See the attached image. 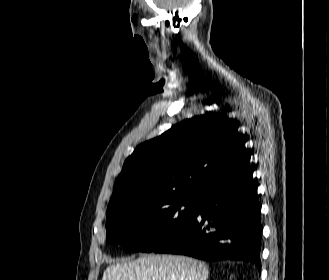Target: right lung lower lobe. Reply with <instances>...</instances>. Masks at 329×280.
<instances>
[{"label": "right lung lower lobe", "mask_w": 329, "mask_h": 280, "mask_svg": "<svg viewBox=\"0 0 329 280\" xmlns=\"http://www.w3.org/2000/svg\"><path fill=\"white\" fill-rule=\"evenodd\" d=\"M249 161L212 183L186 225L153 251L208 261L244 260L260 270V206Z\"/></svg>", "instance_id": "1"}]
</instances>
